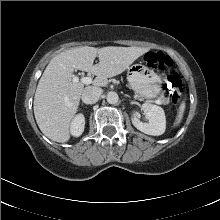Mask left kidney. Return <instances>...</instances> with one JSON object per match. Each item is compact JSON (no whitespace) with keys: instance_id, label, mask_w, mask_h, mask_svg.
I'll use <instances>...</instances> for the list:
<instances>
[{"instance_id":"obj_1","label":"left kidney","mask_w":220,"mask_h":220,"mask_svg":"<svg viewBox=\"0 0 220 220\" xmlns=\"http://www.w3.org/2000/svg\"><path fill=\"white\" fill-rule=\"evenodd\" d=\"M141 109L145 113L148 119V123L140 121L136 113L132 114V124L141 132L152 135L159 136L165 132L166 129V118L164 110L157 105L145 103L142 105Z\"/></svg>"}]
</instances>
